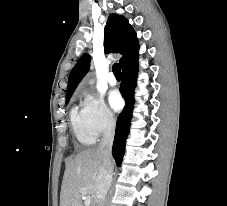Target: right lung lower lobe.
<instances>
[{
	"instance_id": "1",
	"label": "right lung lower lobe",
	"mask_w": 227,
	"mask_h": 206,
	"mask_svg": "<svg viewBox=\"0 0 227 206\" xmlns=\"http://www.w3.org/2000/svg\"><path fill=\"white\" fill-rule=\"evenodd\" d=\"M138 72V60L128 65L122 72V83L120 90L126 101L124 110L119 114L116 124L115 139L112 148V155L117 166H121L122 158L125 152V142L129 134L130 120L134 104V88Z\"/></svg>"
}]
</instances>
